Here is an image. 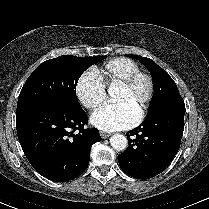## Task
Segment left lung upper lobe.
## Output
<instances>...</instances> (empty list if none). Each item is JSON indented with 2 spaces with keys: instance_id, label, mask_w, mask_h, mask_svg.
<instances>
[{
  "instance_id": "1",
  "label": "left lung upper lobe",
  "mask_w": 209,
  "mask_h": 209,
  "mask_svg": "<svg viewBox=\"0 0 209 209\" xmlns=\"http://www.w3.org/2000/svg\"><path fill=\"white\" fill-rule=\"evenodd\" d=\"M128 56L139 59L149 69L153 79L154 97L147 116L163 108L185 106L174 80L165 70L149 58L137 55Z\"/></svg>"
}]
</instances>
